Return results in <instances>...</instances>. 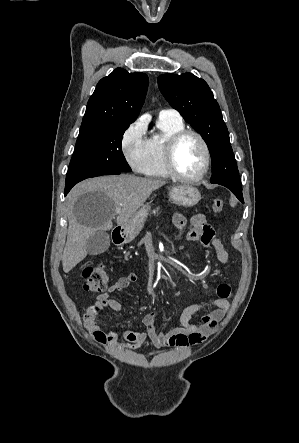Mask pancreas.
I'll list each match as a JSON object with an SVG mask.
<instances>
[{"label":"pancreas","instance_id":"obj_1","mask_svg":"<svg viewBox=\"0 0 299 443\" xmlns=\"http://www.w3.org/2000/svg\"><path fill=\"white\" fill-rule=\"evenodd\" d=\"M158 210H159V208H157V209H155V210H153V214H156L157 212H158Z\"/></svg>","mask_w":299,"mask_h":443}]
</instances>
